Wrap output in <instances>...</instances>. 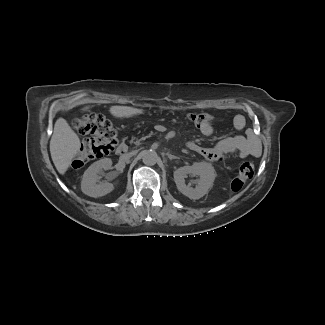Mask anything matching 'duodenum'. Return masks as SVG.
Instances as JSON below:
<instances>
[{
	"instance_id": "1",
	"label": "duodenum",
	"mask_w": 325,
	"mask_h": 325,
	"mask_svg": "<svg viewBox=\"0 0 325 325\" xmlns=\"http://www.w3.org/2000/svg\"><path fill=\"white\" fill-rule=\"evenodd\" d=\"M127 152H128V146L126 144H121L117 149V153L119 156H124L127 154Z\"/></svg>"
}]
</instances>
